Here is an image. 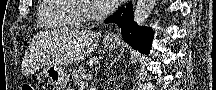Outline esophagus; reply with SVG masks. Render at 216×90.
Here are the masks:
<instances>
[{"label":"esophagus","mask_w":216,"mask_h":90,"mask_svg":"<svg viewBox=\"0 0 216 90\" xmlns=\"http://www.w3.org/2000/svg\"><path fill=\"white\" fill-rule=\"evenodd\" d=\"M106 40H119L118 36L116 35L115 31L106 32L105 37Z\"/></svg>","instance_id":"1"}]
</instances>
